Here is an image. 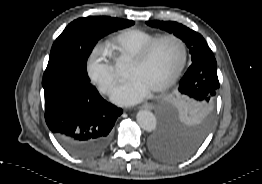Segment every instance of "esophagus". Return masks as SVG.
Wrapping results in <instances>:
<instances>
[{
    "label": "esophagus",
    "mask_w": 262,
    "mask_h": 184,
    "mask_svg": "<svg viewBox=\"0 0 262 184\" xmlns=\"http://www.w3.org/2000/svg\"><path fill=\"white\" fill-rule=\"evenodd\" d=\"M155 105L153 103H144L141 106H139L140 109H148L152 110L154 109Z\"/></svg>",
    "instance_id": "34e87169"
}]
</instances>
